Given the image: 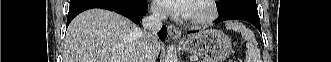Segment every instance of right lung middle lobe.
Segmentation results:
<instances>
[{
  "instance_id": "1",
  "label": "right lung middle lobe",
  "mask_w": 331,
  "mask_h": 62,
  "mask_svg": "<svg viewBox=\"0 0 331 62\" xmlns=\"http://www.w3.org/2000/svg\"><path fill=\"white\" fill-rule=\"evenodd\" d=\"M73 1V0H70ZM122 2H127V3H132V2H136L137 0H120Z\"/></svg>"
}]
</instances>
